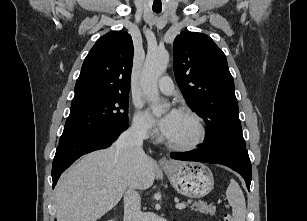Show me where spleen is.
Returning <instances> with one entry per match:
<instances>
[{"label":"spleen","mask_w":307,"mask_h":221,"mask_svg":"<svg viewBox=\"0 0 307 221\" xmlns=\"http://www.w3.org/2000/svg\"><path fill=\"white\" fill-rule=\"evenodd\" d=\"M226 196L229 204L232 207L234 221H245L246 218V202L243 192L234 180H230L229 187L226 191Z\"/></svg>","instance_id":"obj_1"}]
</instances>
